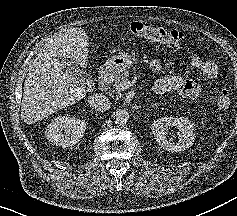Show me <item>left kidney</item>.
<instances>
[{
	"label": "left kidney",
	"mask_w": 237,
	"mask_h": 216,
	"mask_svg": "<svg viewBox=\"0 0 237 216\" xmlns=\"http://www.w3.org/2000/svg\"><path fill=\"white\" fill-rule=\"evenodd\" d=\"M152 132L159 146L167 151H183L193 144V126L186 120L160 118L153 124Z\"/></svg>",
	"instance_id": "1"
}]
</instances>
